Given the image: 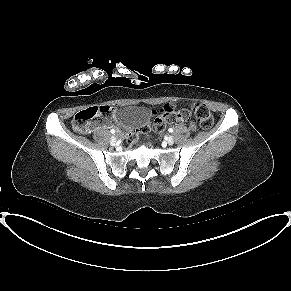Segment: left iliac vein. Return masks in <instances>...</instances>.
I'll use <instances>...</instances> for the list:
<instances>
[{
  "label": "left iliac vein",
  "instance_id": "1",
  "mask_svg": "<svg viewBox=\"0 0 291 291\" xmlns=\"http://www.w3.org/2000/svg\"><path fill=\"white\" fill-rule=\"evenodd\" d=\"M166 142H167V144L172 145L174 143L173 136H168Z\"/></svg>",
  "mask_w": 291,
  "mask_h": 291
}]
</instances>
